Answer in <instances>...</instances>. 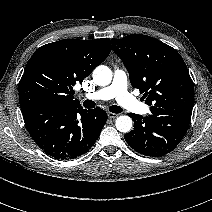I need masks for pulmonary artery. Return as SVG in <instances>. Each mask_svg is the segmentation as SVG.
Returning <instances> with one entry per match:
<instances>
[{
  "instance_id": "e3ab8cb5",
  "label": "pulmonary artery",
  "mask_w": 212,
  "mask_h": 212,
  "mask_svg": "<svg viewBox=\"0 0 212 212\" xmlns=\"http://www.w3.org/2000/svg\"><path fill=\"white\" fill-rule=\"evenodd\" d=\"M89 100H110L115 98L124 109L137 113L146 114L149 106L141 103L127 90V75L122 69L115 68L112 83L104 88L85 94Z\"/></svg>"
}]
</instances>
